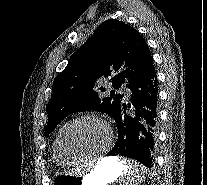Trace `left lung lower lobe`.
Returning a JSON list of instances; mask_svg holds the SVG:
<instances>
[{"label": "left lung lower lobe", "mask_w": 207, "mask_h": 185, "mask_svg": "<svg viewBox=\"0 0 207 185\" xmlns=\"http://www.w3.org/2000/svg\"><path fill=\"white\" fill-rule=\"evenodd\" d=\"M157 84L154 65L130 84L131 99L117 113L118 138L107 156H126L152 167L158 139Z\"/></svg>", "instance_id": "1"}]
</instances>
